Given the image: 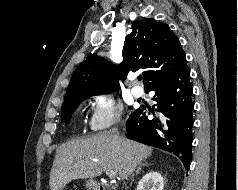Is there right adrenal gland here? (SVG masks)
<instances>
[{
    "label": "right adrenal gland",
    "instance_id": "2a0ac1e0",
    "mask_svg": "<svg viewBox=\"0 0 238 190\" xmlns=\"http://www.w3.org/2000/svg\"><path fill=\"white\" fill-rule=\"evenodd\" d=\"M149 165H150V164H148V163H146V162L139 164V166L137 167L135 173H133V174L131 175L130 179H132L135 175H138V174L140 173L142 167H144V166H149Z\"/></svg>",
    "mask_w": 238,
    "mask_h": 190
}]
</instances>
